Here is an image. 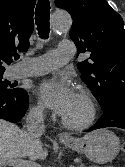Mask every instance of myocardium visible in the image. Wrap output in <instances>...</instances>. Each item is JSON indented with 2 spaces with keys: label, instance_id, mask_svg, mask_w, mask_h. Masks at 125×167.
Wrapping results in <instances>:
<instances>
[{
  "label": "myocardium",
  "instance_id": "1",
  "mask_svg": "<svg viewBox=\"0 0 125 167\" xmlns=\"http://www.w3.org/2000/svg\"><path fill=\"white\" fill-rule=\"evenodd\" d=\"M77 91L88 104L89 115L87 119L81 123H73V122L66 120L64 117H62L61 118L62 125L65 128L69 130H73V131H81V130H84L90 127L94 123L96 116H97V104L91 92L83 87H79Z\"/></svg>",
  "mask_w": 125,
  "mask_h": 167
}]
</instances>
